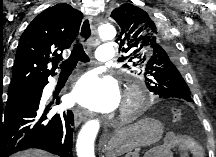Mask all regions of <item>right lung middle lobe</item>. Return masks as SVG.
<instances>
[{
  "label": "right lung middle lobe",
  "instance_id": "dd1d6c3e",
  "mask_svg": "<svg viewBox=\"0 0 216 157\" xmlns=\"http://www.w3.org/2000/svg\"><path fill=\"white\" fill-rule=\"evenodd\" d=\"M40 88V85H37V86H32V87H28V88H25V89H21V90H17V91H12V92H8V99H7V104L11 103L12 101L20 98V96L29 91V90H32V89H39Z\"/></svg>",
  "mask_w": 216,
  "mask_h": 157
}]
</instances>
